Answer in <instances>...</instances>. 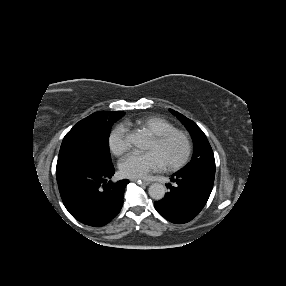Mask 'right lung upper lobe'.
I'll list each match as a JSON object with an SVG mask.
<instances>
[{
    "mask_svg": "<svg viewBox=\"0 0 286 286\" xmlns=\"http://www.w3.org/2000/svg\"><path fill=\"white\" fill-rule=\"evenodd\" d=\"M108 112H106V111H103V112H96V113H94V114H92V115H104V114H107Z\"/></svg>",
    "mask_w": 286,
    "mask_h": 286,
    "instance_id": "cb5924a9",
    "label": "right lung upper lobe"
}]
</instances>
